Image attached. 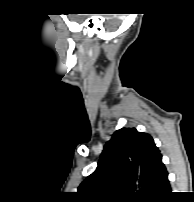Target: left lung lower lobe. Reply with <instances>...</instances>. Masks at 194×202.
I'll use <instances>...</instances> for the list:
<instances>
[{
  "label": "left lung lower lobe",
  "instance_id": "left-lung-lower-lobe-1",
  "mask_svg": "<svg viewBox=\"0 0 194 202\" xmlns=\"http://www.w3.org/2000/svg\"><path fill=\"white\" fill-rule=\"evenodd\" d=\"M170 195H171V187L168 180V173L166 171V168L164 167L162 169V173L160 175L159 181L155 187L151 199L159 201H167Z\"/></svg>",
  "mask_w": 194,
  "mask_h": 202
}]
</instances>
